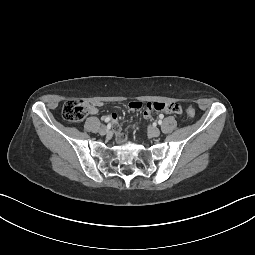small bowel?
I'll use <instances>...</instances> for the list:
<instances>
[{
  "instance_id": "c3829d8e",
  "label": "small bowel",
  "mask_w": 255,
  "mask_h": 255,
  "mask_svg": "<svg viewBox=\"0 0 255 255\" xmlns=\"http://www.w3.org/2000/svg\"><path fill=\"white\" fill-rule=\"evenodd\" d=\"M130 106L131 108L137 109V108H141L143 106V103L139 101H135L130 103ZM144 107H145L146 116H150L152 113L159 112V111L166 112V113H173L178 119H183L186 116L184 105L179 101L146 103ZM97 113H98V104H91L90 114L96 115ZM109 117L110 118L112 117L113 119L116 118L114 114H112ZM117 137L120 140L123 139V135L120 129L117 130Z\"/></svg>"
}]
</instances>
